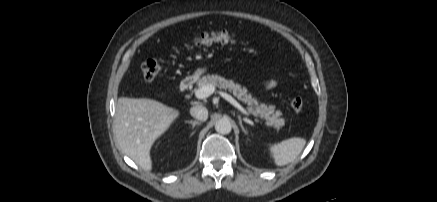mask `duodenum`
<instances>
[{"label": "duodenum", "instance_id": "obj_1", "mask_svg": "<svg viewBox=\"0 0 437 202\" xmlns=\"http://www.w3.org/2000/svg\"><path fill=\"white\" fill-rule=\"evenodd\" d=\"M193 83H194L193 77L184 78L179 85V91L181 93L188 91L190 89V87L193 85Z\"/></svg>", "mask_w": 437, "mask_h": 202}]
</instances>
